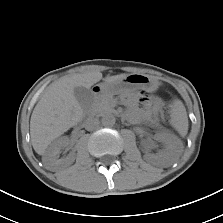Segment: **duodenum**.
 <instances>
[{
  "mask_svg": "<svg viewBox=\"0 0 223 223\" xmlns=\"http://www.w3.org/2000/svg\"><path fill=\"white\" fill-rule=\"evenodd\" d=\"M93 92H94V94H99L100 93V88L99 87H95L94 89H93Z\"/></svg>",
  "mask_w": 223,
  "mask_h": 223,
  "instance_id": "obj_1",
  "label": "duodenum"
}]
</instances>
